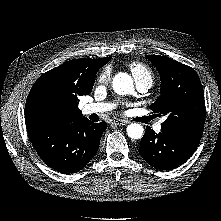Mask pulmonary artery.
<instances>
[{
    "label": "pulmonary artery",
    "mask_w": 221,
    "mask_h": 221,
    "mask_svg": "<svg viewBox=\"0 0 221 221\" xmlns=\"http://www.w3.org/2000/svg\"><path fill=\"white\" fill-rule=\"evenodd\" d=\"M152 86V83L146 80L136 81V88L140 93H145ZM114 107L113 104L110 103H89L83 107L84 114H93V113H101L108 110H111ZM155 131L161 130V123L158 122L154 125Z\"/></svg>",
    "instance_id": "obj_1"
}]
</instances>
